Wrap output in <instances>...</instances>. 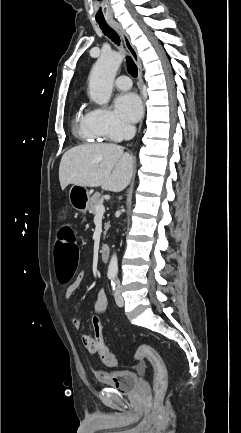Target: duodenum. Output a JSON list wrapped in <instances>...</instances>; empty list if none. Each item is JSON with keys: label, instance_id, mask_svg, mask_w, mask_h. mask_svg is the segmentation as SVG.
I'll return each instance as SVG.
<instances>
[{"label": "duodenum", "instance_id": "410a0bca", "mask_svg": "<svg viewBox=\"0 0 241 433\" xmlns=\"http://www.w3.org/2000/svg\"><path fill=\"white\" fill-rule=\"evenodd\" d=\"M110 251H111V247L109 244L104 243L100 246V256L102 261L106 262L109 260Z\"/></svg>", "mask_w": 241, "mask_h": 433}]
</instances>
